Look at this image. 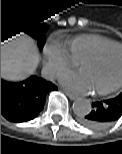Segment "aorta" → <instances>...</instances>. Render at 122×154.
<instances>
[{
    "label": "aorta",
    "mask_w": 122,
    "mask_h": 154,
    "mask_svg": "<svg viewBox=\"0 0 122 154\" xmlns=\"http://www.w3.org/2000/svg\"><path fill=\"white\" fill-rule=\"evenodd\" d=\"M73 112L77 116H85L90 113L92 107L91 103L88 99L85 98H78L73 102Z\"/></svg>",
    "instance_id": "obj_1"
}]
</instances>
